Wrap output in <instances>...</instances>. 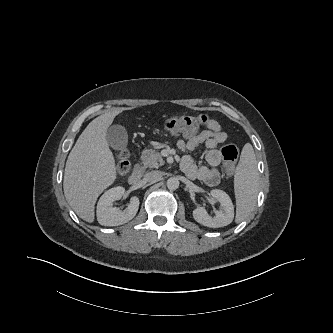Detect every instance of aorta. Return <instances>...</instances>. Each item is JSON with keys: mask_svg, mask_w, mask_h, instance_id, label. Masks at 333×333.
I'll list each match as a JSON object with an SVG mask.
<instances>
[{"mask_svg": "<svg viewBox=\"0 0 333 333\" xmlns=\"http://www.w3.org/2000/svg\"><path fill=\"white\" fill-rule=\"evenodd\" d=\"M167 187L169 190H176L179 187V180L175 177H171L167 180Z\"/></svg>", "mask_w": 333, "mask_h": 333, "instance_id": "aorta-1", "label": "aorta"}]
</instances>
